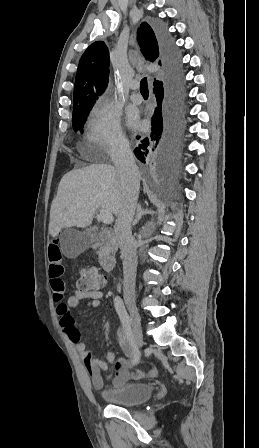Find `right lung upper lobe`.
I'll use <instances>...</instances> for the list:
<instances>
[{"mask_svg": "<svg viewBox=\"0 0 259 448\" xmlns=\"http://www.w3.org/2000/svg\"><path fill=\"white\" fill-rule=\"evenodd\" d=\"M137 38L146 60L159 62L160 45L156 32L143 22L137 32ZM109 51L103 41L92 43L82 55L75 78L73 110L89 108L106 89L109 77ZM163 83L156 80L154 88Z\"/></svg>", "mask_w": 259, "mask_h": 448, "instance_id": "1", "label": "right lung upper lobe"}]
</instances>
